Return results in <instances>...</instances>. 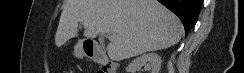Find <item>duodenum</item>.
Masks as SVG:
<instances>
[{
  "label": "duodenum",
  "mask_w": 244,
  "mask_h": 73,
  "mask_svg": "<svg viewBox=\"0 0 244 73\" xmlns=\"http://www.w3.org/2000/svg\"><path fill=\"white\" fill-rule=\"evenodd\" d=\"M84 51L86 56L100 65V73H114V67L110 63L104 49L97 43L85 42Z\"/></svg>",
  "instance_id": "obj_1"
}]
</instances>
